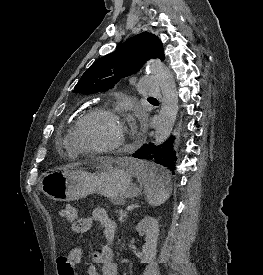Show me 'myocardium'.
<instances>
[{"mask_svg": "<svg viewBox=\"0 0 263 275\" xmlns=\"http://www.w3.org/2000/svg\"><path fill=\"white\" fill-rule=\"evenodd\" d=\"M96 115H106L115 120L119 124L123 133L120 139L113 145L104 148H91L85 147L79 143L77 137L79 128L86 120ZM133 137V130L127 125V123L123 120V118L116 110L107 106H97L86 111L75 121L74 125L70 130L68 141L71 149H73L77 153L87 155H105L120 152L126 149V147L129 145Z\"/></svg>", "mask_w": 263, "mask_h": 275, "instance_id": "f54148a6", "label": "myocardium"}]
</instances>
